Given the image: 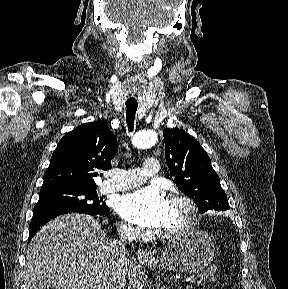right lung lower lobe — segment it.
I'll return each instance as SVG.
<instances>
[{"label":"right lung lower lobe","instance_id":"obj_1","mask_svg":"<svg viewBox=\"0 0 288 289\" xmlns=\"http://www.w3.org/2000/svg\"><path fill=\"white\" fill-rule=\"evenodd\" d=\"M75 211H69V210H42L38 212L33 213V219L32 222L30 223V230H29V240L35 235V233L39 230V228L47 223L49 220L52 218L65 214V213H72ZM109 213V208L107 207L106 209L95 212L90 215H100V216H105ZM87 214V213H86ZM29 243V241H28Z\"/></svg>","mask_w":288,"mask_h":289}]
</instances>
